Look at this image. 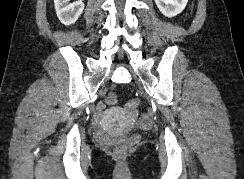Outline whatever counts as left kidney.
<instances>
[{
    "mask_svg": "<svg viewBox=\"0 0 244 179\" xmlns=\"http://www.w3.org/2000/svg\"><path fill=\"white\" fill-rule=\"evenodd\" d=\"M188 0H155L157 8L167 18H174L183 12Z\"/></svg>",
    "mask_w": 244,
    "mask_h": 179,
    "instance_id": "5707ae66",
    "label": "left kidney"
}]
</instances>
